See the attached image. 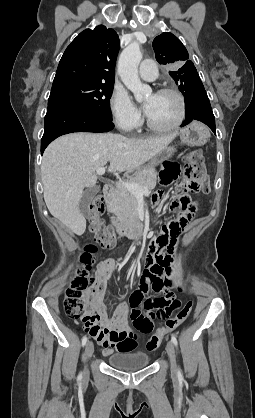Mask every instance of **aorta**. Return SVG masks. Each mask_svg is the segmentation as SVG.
Here are the masks:
<instances>
[{"label": "aorta", "instance_id": "obj_1", "mask_svg": "<svg viewBox=\"0 0 255 418\" xmlns=\"http://www.w3.org/2000/svg\"><path fill=\"white\" fill-rule=\"evenodd\" d=\"M142 59V53L138 43L128 45L121 53L118 72L124 85L134 94L135 99L141 102L149 96L152 89L149 85L143 84L138 76V66Z\"/></svg>", "mask_w": 255, "mask_h": 418}]
</instances>
